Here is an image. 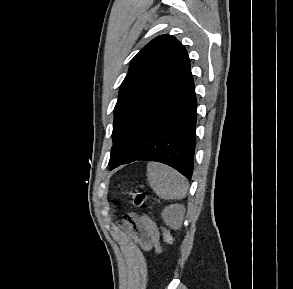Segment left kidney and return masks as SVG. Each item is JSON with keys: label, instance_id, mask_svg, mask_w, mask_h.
Returning <instances> with one entry per match:
<instances>
[{"label": "left kidney", "instance_id": "obj_1", "mask_svg": "<svg viewBox=\"0 0 293 289\" xmlns=\"http://www.w3.org/2000/svg\"><path fill=\"white\" fill-rule=\"evenodd\" d=\"M185 208L180 204H172L162 211V218L166 225L171 228H178L182 222Z\"/></svg>", "mask_w": 293, "mask_h": 289}]
</instances>
